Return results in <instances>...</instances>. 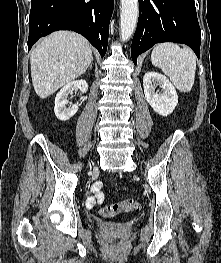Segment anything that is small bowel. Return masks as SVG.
Listing matches in <instances>:
<instances>
[{"label": "small bowel", "instance_id": "c3829d8e", "mask_svg": "<svg viewBox=\"0 0 221 263\" xmlns=\"http://www.w3.org/2000/svg\"><path fill=\"white\" fill-rule=\"evenodd\" d=\"M103 184L101 182H96L92 185L91 190L94 194V196L88 197L86 200V206L89 209H92L93 207L100 205L105 200V195L102 191Z\"/></svg>", "mask_w": 221, "mask_h": 263}]
</instances>
